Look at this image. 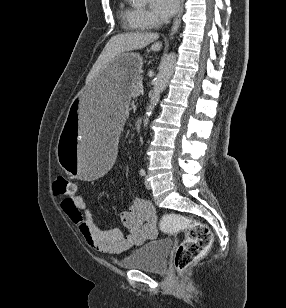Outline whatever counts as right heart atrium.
Masks as SVG:
<instances>
[{"mask_svg":"<svg viewBox=\"0 0 286 308\" xmlns=\"http://www.w3.org/2000/svg\"><path fill=\"white\" fill-rule=\"evenodd\" d=\"M141 22L147 28L159 25L162 20L149 10H140Z\"/></svg>","mask_w":286,"mask_h":308,"instance_id":"obj_1","label":"right heart atrium"}]
</instances>
